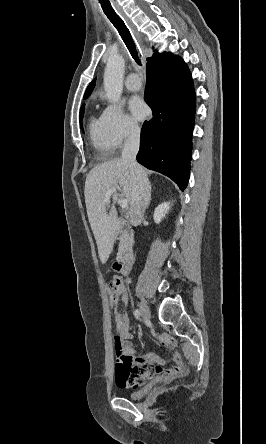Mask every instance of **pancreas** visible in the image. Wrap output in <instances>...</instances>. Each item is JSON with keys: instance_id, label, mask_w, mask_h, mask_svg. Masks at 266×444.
<instances>
[{"instance_id": "pancreas-1", "label": "pancreas", "mask_w": 266, "mask_h": 444, "mask_svg": "<svg viewBox=\"0 0 266 444\" xmlns=\"http://www.w3.org/2000/svg\"><path fill=\"white\" fill-rule=\"evenodd\" d=\"M128 237H129V233L127 232V230H124V231L122 232L121 237H120L121 244H122V243L125 241V239L128 238Z\"/></svg>"}]
</instances>
